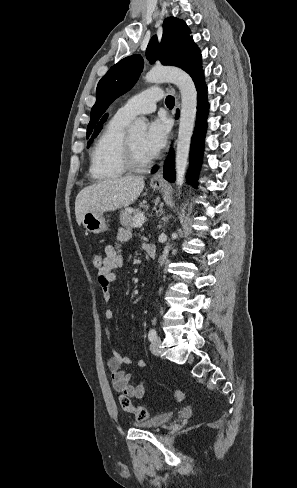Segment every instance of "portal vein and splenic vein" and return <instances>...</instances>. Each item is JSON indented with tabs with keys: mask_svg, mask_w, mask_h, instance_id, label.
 <instances>
[{
	"mask_svg": "<svg viewBox=\"0 0 297 488\" xmlns=\"http://www.w3.org/2000/svg\"><path fill=\"white\" fill-rule=\"evenodd\" d=\"M133 209H129V211H132ZM134 225L136 227H141L144 222H145V215H144V212H140L138 215L135 216L134 218Z\"/></svg>",
	"mask_w": 297,
	"mask_h": 488,
	"instance_id": "portal-vein-and-splenic-vein-1",
	"label": "portal vein and splenic vein"
}]
</instances>
